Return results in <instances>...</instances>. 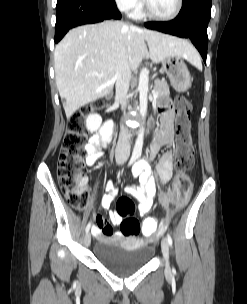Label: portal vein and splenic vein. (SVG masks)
<instances>
[{"mask_svg":"<svg viewBox=\"0 0 247 304\" xmlns=\"http://www.w3.org/2000/svg\"><path fill=\"white\" fill-rule=\"evenodd\" d=\"M97 75H98L99 77H102V76H103V74H97ZM153 96L156 97V96H157V93L154 92V93H153Z\"/></svg>","mask_w":247,"mask_h":304,"instance_id":"obj_1","label":"portal vein and splenic vein"}]
</instances>
